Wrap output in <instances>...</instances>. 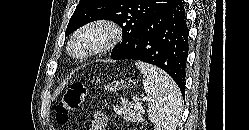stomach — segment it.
<instances>
[{"instance_id":"stomach-1","label":"stomach","mask_w":249,"mask_h":130,"mask_svg":"<svg viewBox=\"0 0 249 130\" xmlns=\"http://www.w3.org/2000/svg\"><path fill=\"white\" fill-rule=\"evenodd\" d=\"M126 84L124 81H113L105 86L106 90L116 91L125 88Z\"/></svg>"}]
</instances>
